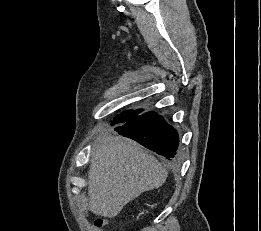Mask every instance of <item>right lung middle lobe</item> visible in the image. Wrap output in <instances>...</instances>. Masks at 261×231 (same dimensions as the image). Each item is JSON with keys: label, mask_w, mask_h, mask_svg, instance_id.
I'll return each instance as SVG.
<instances>
[{"label": "right lung middle lobe", "mask_w": 261, "mask_h": 231, "mask_svg": "<svg viewBox=\"0 0 261 231\" xmlns=\"http://www.w3.org/2000/svg\"><path fill=\"white\" fill-rule=\"evenodd\" d=\"M142 112H143V110L125 111L115 118L114 122H112V125H114L116 123H126V122L132 120L133 118L139 116L140 114H142Z\"/></svg>", "instance_id": "1"}]
</instances>
